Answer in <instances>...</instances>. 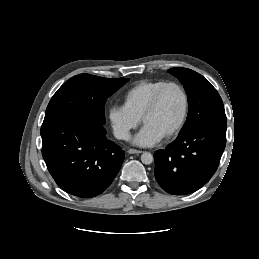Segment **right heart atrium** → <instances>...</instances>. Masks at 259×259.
<instances>
[{"mask_svg": "<svg viewBox=\"0 0 259 259\" xmlns=\"http://www.w3.org/2000/svg\"><path fill=\"white\" fill-rule=\"evenodd\" d=\"M108 119L114 135L120 140H127L132 130L137 128L140 123L138 117L121 105H113L109 108Z\"/></svg>", "mask_w": 259, "mask_h": 259, "instance_id": "1", "label": "right heart atrium"}]
</instances>
